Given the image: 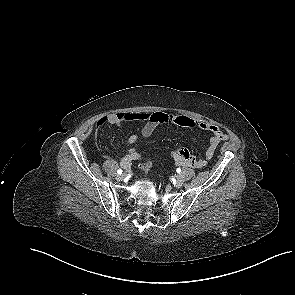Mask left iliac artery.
Instances as JSON below:
<instances>
[{"label": "left iliac artery", "instance_id": "1", "mask_svg": "<svg viewBox=\"0 0 295 295\" xmlns=\"http://www.w3.org/2000/svg\"><path fill=\"white\" fill-rule=\"evenodd\" d=\"M176 171H177V173H180L181 172V169L180 168H177Z\"/></svg>", "mask_w": 295, "mask_h": 295}]
</instances>
